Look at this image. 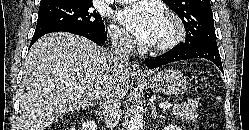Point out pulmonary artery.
<instances>
[{
  "instance_id": "pulmonary-artery-1",
  "label": "pulmonary artery",
  "mask_w": 249,
  "mask_h": 130,
  "mask_svg": "<svg viewBox=\"0 0 249 130\" xmlns=\"http://www.w3.org/2000/svg\"><path fill=\"white\" fill-rule=\"evenodd\" d=\"M132 0H117V2H120V3H125V2H130Z\"/></svg>"
}]
</instances>
